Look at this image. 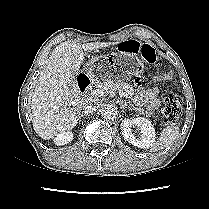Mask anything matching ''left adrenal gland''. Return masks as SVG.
Masks as SVG:
<instances>
[{"label":"left adrenal gland","mask_w":209,"mask_h":209,"mask_svg":"<svg viewBox=\"0 0 209 209\" xmlns=\"http://www.w3.org/2000/svg\"><path fill=\"white\" fill-rule=\"evenodd\" d=\"M121 108L125 109V107H127V104L123 103V101L120 102ZM130 108V107H129Z\"/></svg>","instance_id":"left-adrenal-gland-1"}]
</instances>
